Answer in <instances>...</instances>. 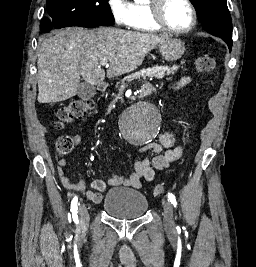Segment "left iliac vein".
Here are the masks:
<instances>
[{
  "instance_id": "1",
  "label": "left iliac vein",
  "mask_w": 256,
  "mask_h": 267,
  "mask_svg": "<svg viewBox=\"0 0 256 267\" xmlns=\"http://www.w3.org/2000/svg\"><path fill=\"white\" fill-rule=\"evenodd\" d=\"M163 209L165 227L169 230H172L175 227L173 220V206L169 201L163 200Z\"/></svg>"
}]
</instances>
